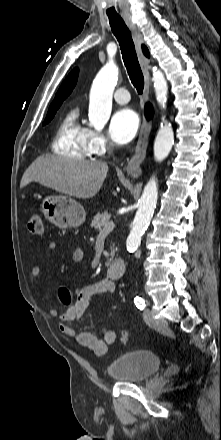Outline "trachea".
<instances>
[{
  "label": "trachea",
  "instance_id": "1",
  "mask_svg": "<svg viewBox=\"0 0 221 440\" xmlns=\"http://www.w3.org/2000/svg\"><path fill=\"white\" fill-rule=\"evenodd\" d=\"M113 34L117 38L123 61L133 86L139 94L144 89V77L141 71L131 33L120 17L109 18Z\"/></svg>",
  "mask_w": 221,
  "mask_h": 440
}]
</instances>
